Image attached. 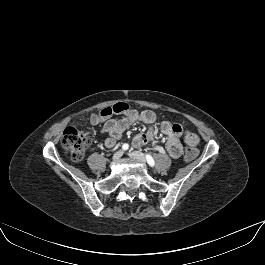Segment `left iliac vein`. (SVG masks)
I'll list each match as a JSON object with an SVG mask.
<instances>
[{
    "label": "left iliac vein",
    "mask_w": 265,
    "mask_h": 265,
    "mask_svg": "<svg viewBox=\"0 0 265 265\" xmlns=\"http://www.w3.org/2000/svg\"><path fill=\"white\" fill-rule=\"evenodd\" d=\"M130 157L135 159V160H138L140 161L141 163L145 164L146 162V158H145V155L139 151H133V152H130L129 153Z\"/></svg>",
    "instance_id": "1"
}]
</instances>
